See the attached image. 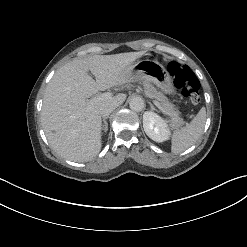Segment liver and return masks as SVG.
Returning a JSON list of instances; mask_svg holds the SVG:
<instances>
[{
  "mask_svg": "<svg viewBox=\"0 0 247 247\" xmlns=\"http://www.w3.org/2000/svg\"><path fill=\"white\" fill-rule=\"evenodd\" d=\"M144 54L140 51L74 59L56 71L44 94L41 123L57 154L71 161L87 162L100 152V108L106 102L117 101L120 105L126 95L118 94L92 104L88 98L98 91L139 79L132 73V64Z\"/></svg>",
  "mask_w": 247,
  "mask_h": 247,
  "instance_id": "liver-1",
  "label": "liver"
}]
</instances>
